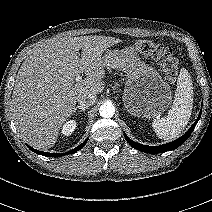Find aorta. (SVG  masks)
<instances>
[{"mask_svg": "<svg viewBox=\"0 0 212 212\" xmlns=\"http://www.w3.org/2000/svg\"><path fill=\"white\" fill-rule=\"evenodd\" d=\"M99 113L103 118H111L115 113V107L112 103L105 102L100 106Z\"/></svg>", "mask_w": 212, "mask_h": 212, "instance_id": "aorta-1", "label": "aorta"}]
</instances>
